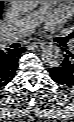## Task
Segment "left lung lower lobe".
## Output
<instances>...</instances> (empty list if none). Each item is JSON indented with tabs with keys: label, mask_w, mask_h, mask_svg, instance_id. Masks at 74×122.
<instances>
[{
	"label": "left lung lower lobe",
	"mask_w": 74,
	"mask_h": 122,
	"mask_svg": "<svg viewBox=\"0 0 74 122\" xmlns=\"http://www.w3.org/2000/svg\"><path fill=\"white\" fill-rule=\"evenodd\" d=\"M51 78L64 87H74V48L66 50L60 66L49 70Z\"/></svg>",
	"instance_id": "left-lung-lower-lobe-1"
}]
</instances>
